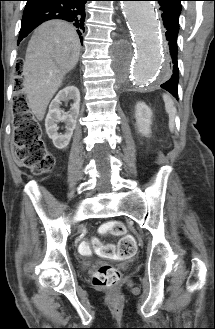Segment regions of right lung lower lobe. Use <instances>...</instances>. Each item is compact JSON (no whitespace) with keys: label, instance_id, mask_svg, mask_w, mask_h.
I'll return each mask as SVG.
<instances>
[{"label":"right lung lower lobe","instance_id":"98d812e1","mask_svg":"<svg viewBox=\"0 0 215 329\" xmlns=\"http://www.w3.org/2000/svg\"><path fill=\"white\" fill-rule=\"evenodd\" d=\"M18 43L41 23L51 19L72 22L83 41L85 3L89 0H26Z\"/></svg>","mask_w":215,"mask_h":329}]
</instances>
